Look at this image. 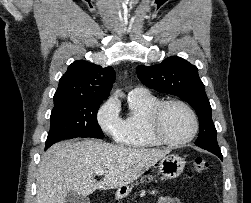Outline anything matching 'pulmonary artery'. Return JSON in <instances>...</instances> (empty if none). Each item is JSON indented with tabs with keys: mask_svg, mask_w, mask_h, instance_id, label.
<instances>
[{
	"mask_svg": "<svg viewBox=\"0 0 251 203\" xmlns=\"http://www.w3.org/2000/svg\"><path fill=\"white\" fill-rule=\"evenodd\" d=\"M149 91L144 87H135L129 92V96H147Z\"/></svg>",
	"mask_w": 251,
	"mask_h": 203,
	"instance_id": "obj_1",
	"label": "pulmonary artery"
}]
</instances>
